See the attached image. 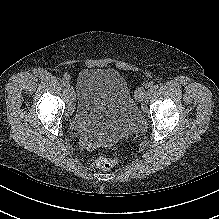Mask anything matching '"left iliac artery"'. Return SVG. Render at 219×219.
I'll use <instances>...</instances> for the list:
<instances>
[{
    "label": "left iliac artery",
    "mask_w": 219,
    "mask_h": 219,
    "mask_svg": "<svg viewBox=\"0 0 219 219\" xmlns=\"http://www.w3.org/2000/svg\"><path fill=\"white\" fill-rule=\"evenodd\" d=\"M146 88H149V92L150 93H153L157 90L158 88V85H155V84H146L145 85Z\"/></svg>",
    "instance_id": "44dca946"
}]
</instances>
